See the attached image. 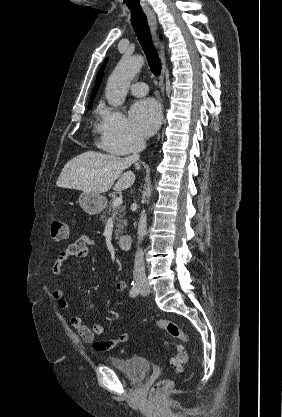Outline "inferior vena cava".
Listing matches in <instances>:
<instances>
[{
	"instance_id": "1",
	"label": "inferior vena cava",
	"mask_w": 282,
	"mask_h": 417,
	"mask_svg": "<svg viewBox=\"0 0 282 417\" xmlns=\"http://www.w3.org/2000/svg\"><path fill=\"white\" fill-rule=\"evenodd\" d=\"M145 146H146V142L144 138H141V136H136L134 140V144H133V154H131V156H127L130 162H135V164H137V168H140L137 162L139 158L138 152H141V150H143ZM133 277L136 283L137 281H139V283H142V281H146L144 255H143L142 249H138V251H136V255L134 259Z\"/></svg>"
}]
</instances>
